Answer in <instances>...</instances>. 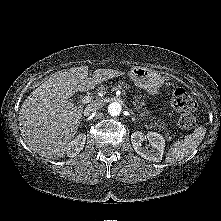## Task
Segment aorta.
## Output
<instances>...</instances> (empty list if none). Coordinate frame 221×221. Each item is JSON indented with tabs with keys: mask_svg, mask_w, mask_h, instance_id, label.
Listing matches in <instances>:
<instances>
[{
	"mask_svg": "<svg viewBox=\"0 0 221 221\" xmlns=\"http://www.w3.org/2000/svg\"><path fill=\"white\" fill-rule=\"evenodd\" d=\"M121 104L118 102H112L108 105V113L111 116H118L121 113Z\"/></svg>",
	"mask_w": 221,
	"mask_h": 221,
	"instance_id": "1",
	"label": "aorta"
}]
</instances>
